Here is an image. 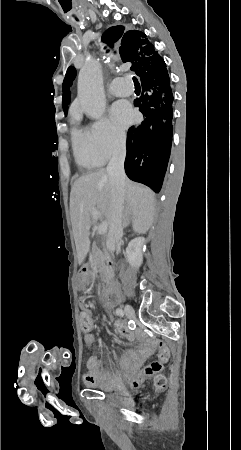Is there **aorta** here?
I'll use <instances>...</instances> for the list:
<instances>
[{
    "label": "aorta",
    "mask_w": 241,
    "mask_h": 450,
    "mask_svg": "<svg viewBox=\"0 0 241 450\" xmlns=\"http://www.w3.org/2000/svg\"><path fill=\"white\" fill-rule=\"evenodd\" d=\"M78 97L81 108L88 117L100 118L106 107L102 71L98 62L87 60L78 76Z\"/></svg>",
    "instance_id": "762f6f07"
}]
</instances>
